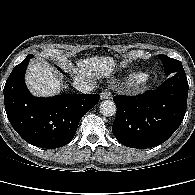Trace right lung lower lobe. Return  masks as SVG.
I'll use <instances>...</instances> for the list:
<instances>
[{"label":"right lung lower lobe","instance_id":"right-lung-lower-lobe-1","mask_svg":"<svg viewBox=\"0 0 195 195\" xmlns=\"http://www.w3.org/2000/svg\"><path fill=\"white\" fill-rule=\"evenodd\" d=\"M31 57L16 65L6 81L3 92L7 117L26 142L47 149L62 147L73 139L81 118L99 102L100 95L32 96L24 81Z\"/></svg>","mask_w":195,"mask_h":195}]
</instances>
